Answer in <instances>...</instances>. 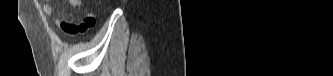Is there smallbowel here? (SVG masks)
Here are the masks:
<instances>
[{
    "label": "small bowel",
    "mask_w": 333,
    "mask_h": 76,
    "mask_svg": "<svg viewBox=\"0 0 333 76\" xmlns=\"http://www.w3.org/2000/svg\"><path fill=\"white\" fill-rule=\"evenodd\" d=\"M69 3L73 7L82 8L85 10V19L84 21L79 24L75 25L69 21H62L55 18V8H54V1L46 0L43 6V11L45 15L50 18L63 32L68 34H79L80 38L84 37V34L89 28H91L95 24V17L94 15L87 11L84 3L81 0H69Z\"/></svg>",
    "instance_id": "c3829d8e"
}]
</instances>
